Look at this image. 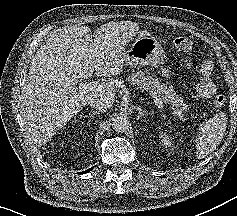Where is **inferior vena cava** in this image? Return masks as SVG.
<instances>
[{"label":"inferior vena cava","instance_id":"inferior-vena-cava-1","mask_svg":"<svg viewBox=\"0 0 237 216\" xmlns=\"http://www.w3.org/2000/svg\"><path fill=\"white\" fill-rule=\"evenodd\" d=\"M114 98L106 95L103 91L97 92L90 97L87 104L101 113H105L113 105Z\"/></svg>","mask_w":237,"mask_h":216}]
</instances>
